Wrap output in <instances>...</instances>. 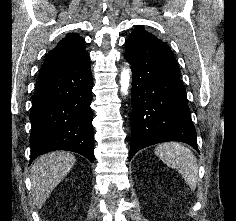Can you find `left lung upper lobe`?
Masks as SVG:
<instances>
[{"label":"left lung upper lobe","mask_w":236,"mask_h":221,"mask_svg":"<svg viewBox=\"0 0 236 221\" xmlns=\"http://www.w3.org/2000/svg\"><path fill=\"white\" fill-rule=\"evenodd\" d=\"M137 30L145 31V30H144V27H142V26H137V27L134 29V31H137Z\"/></svg>","instance_id":"obj_1"}]
</instances>
